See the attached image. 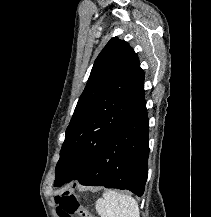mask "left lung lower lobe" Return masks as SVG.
Here are the masks:
<instances>
[{"label":"left lung lower lobe","instance_id":"left-lung-lower-lobe-1","mask_svg":"<svg viewBox=\"0 0 211 217\" xmlns=\"http://www.w3.org/2000/svg\"><path fill=\"white\" fill-rule=\"evenodd\" d=\"M148 121L145 104L111 133L75 179L82 185L128 189L141 196L148 177Z\"/></svg>","mask_w":211,"mask_h":217}]
</instances>
